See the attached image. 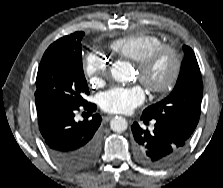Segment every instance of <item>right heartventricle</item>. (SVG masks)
<instances>
[{"mask_svg":"<svg viewBox=\"0 0 223 188\" xmlns=\"http://www.w3.org/2000/svg\"><path fill=\"white\" fill-rule=\"evenodd\" d=\"M162 44L163 40L159 36L141 33L118 38L112 41L109 47L120 56L138 62Z\"/></svg>","mask_w":223,"mask_h":188,"instance_id":"right-heart-ventricle-1","label":"right heart ventricle"}]
</instances>
